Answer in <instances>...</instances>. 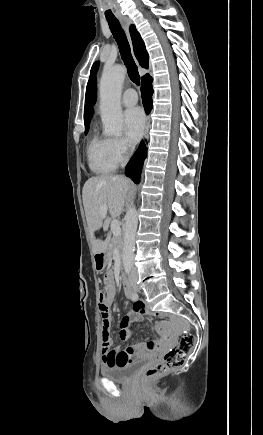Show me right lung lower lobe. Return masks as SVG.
I'll list each match as a JSON object with an SVG mask.
<instances>
[{
    "label": "right lung lower lobe",
    "mask_w": 263,
    "mask_h": 435,
    "mask_svg": "<svg viewBox=\"0 0 263 435\" xmlns=\"http://www.w3.org/2000/svg\"><path fill=\"white\" fill-rule=\"evenodd\" d=\"M152 94H153L152 77L149 74H147L145 77L142 78V85H141V95H142L143 105L147 113L151 111L153 106ZM145 158H146V146L142 141L139 148L136 150L135 154L129 161L125 170L126 176L130 177L135 183H138L140 180V174L142 171V166Z\"/></svg>",
    "instance_id": "obj_1"
}]
</instances>
